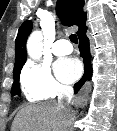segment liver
<instances>
[{
  "label": "liver",
  "instance_id": "liver-1",
  "mask_svg": "<svg viewBox=\"0 0 117 131\" xmlns=\"http://www.w3.org/2000/svg\"><path fill=\"white\" fill-rule=\"evenodd\" d=\"M69 113L56 102L28 105L16 115L11 131H68Z\"/></svg>",
  "mask_w": 117,
  "mask_h": 131
}]
</instances>
